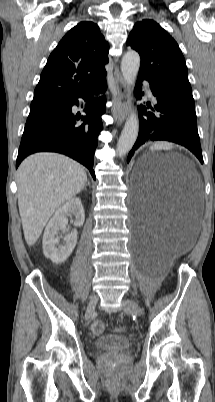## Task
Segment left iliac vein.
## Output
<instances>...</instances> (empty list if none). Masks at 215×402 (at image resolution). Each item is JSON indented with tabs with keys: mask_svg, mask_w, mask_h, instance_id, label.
<instances>
[{
	"mask_svg": "<svg viewBox=\"0 0 215 402\" xmlns=\"http://www.w3.org/2000/svg\"><path fill=\"white\" fill-rule=\"evenodd\" d=\"M122 309L126 313H134L138 316L143 314V309L134 300L125 298L122 301Z\"/></svg>",
	"mask_w": 215,
	"mask_h": 402,
	"instance_id": "1",
	"label": "left iliac vein"
}]
</instances>
